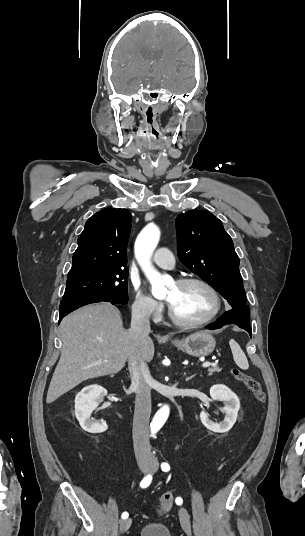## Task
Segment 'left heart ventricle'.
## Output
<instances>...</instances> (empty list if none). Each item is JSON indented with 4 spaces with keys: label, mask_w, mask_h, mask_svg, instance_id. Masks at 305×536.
<instances>
[{
    "label": "left heart ventricle",
    "mask_w": 305,
    "mask_h": 536,
    "mask_svg": "<svg viewBox=\"0 0 305 536\" xmlns=\"http://www.w3.org/2000/svg\"><path fill=\"white\" fill-rule=\"evenodd\" d=\"M165 300L179 315L190 321L210 317L218 306L213 292L200 284L179 286L175 283L168 290Z\"/></svg>",
    "instance_id": "b2bd125f"
}]
</instances>
